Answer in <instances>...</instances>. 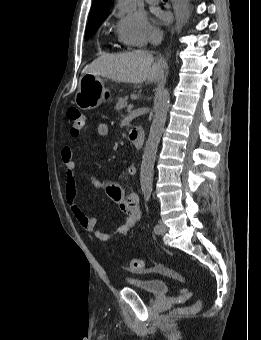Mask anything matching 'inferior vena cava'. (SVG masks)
<instances>
[{
  "mask_svg": "<svg viewBox=\"0 0 261 340\" xmlns=\"http://www.w3.org/2000/svg\"><path fill=\"white\" fill-rule=\"evenodd\" d=\"M163 39L162 31L156 30L152 33L150 41L153 45H159Z\"/></svg>",
  "mask_w": 261,
  "mask_h": 340,
  "instance_id": "602c4592",
  "label": "inferior vena cava"
}]
</instances>
